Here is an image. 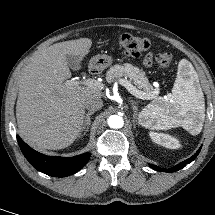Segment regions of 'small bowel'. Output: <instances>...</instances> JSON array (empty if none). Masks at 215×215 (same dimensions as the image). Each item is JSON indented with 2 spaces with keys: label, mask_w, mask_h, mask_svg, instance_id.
Masks as SVG:
<instances>
[{
  "label": "small bowel",
  "mask_w": 215,
  "mask_h": 215,
  "mask_svg": "<svg viewBox=\"0 0 215 215\" xmlns=\"http://www.w3.org/2000/svg\"><path fill=\"white\" fill-rule=\"evenodd\" d=\"M152 63V56L151 54H148L145 59H144V65L145 66H150Z\"/></svg>",
  "instance_id": "obj_1"
}]
</instances>
